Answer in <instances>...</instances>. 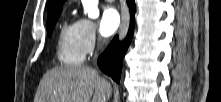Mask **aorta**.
Segmentation results:
<instances>
[{"label":"aorta","instance_id":"1","mask_svg":"<svg viewBox=\"0 0 221 102\" xmlns=\"http://www.w3.org/2000/svg\"><path fill=\"white\" fill-rule=\"evenodd\" d=\"M84 13L88 14L89 18L96 19L99 16L98 0H82Z\"/></svg>","mask_w":221,"mask_h":102}]
</instances>
